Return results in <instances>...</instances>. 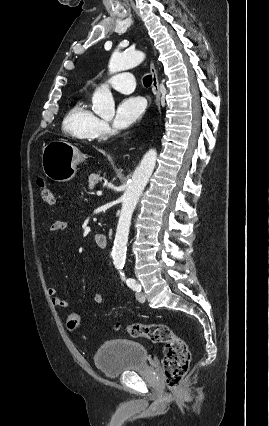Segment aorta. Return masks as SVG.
<instances>
[{
	"mask_svg": "<svg viewBox=\"0 0 269 426\" xmlns=\"http://www.w3.org/2000/svg\"><path fill=\"white\" fill-rule=\"evenodd\" d=\"M145 59L142 51L115 52L109 62V72L116 73L139 65ZM93 111L102 118H112L115 114V103L111 91L107 87L98 88L92 97ZM157 152L150 149L145 153L122 196V208L118 221L113 260L115 265L125 262L129 229L133 211L155 168Z\"/></svg>",
	"mask_w": 269,
	"mask_h": 426,
	"instance_id": "762f6f07",
	"label": "aorta"
}]
</instances>
